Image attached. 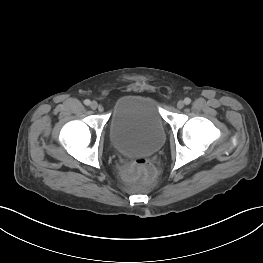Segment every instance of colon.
I'll list each match as a JSON object with an SVG mask.
<instances>
[{
	"label": "colon",
	"instance_id": "1",
	"mask_svg": "<svg viewBox=\"0 0 263 263\" xmlns=\"http://www.w3.org/2000/svg\"><path fill=\"white\" fill-rule=\"evenodd\" d=\"M132 176H140L144 181L151 182L156 177V169L145 159L137 160L129 169Z\"/></svg>",
	"mask_w": 263,
	"mask_h": 263
}]
</instances>
